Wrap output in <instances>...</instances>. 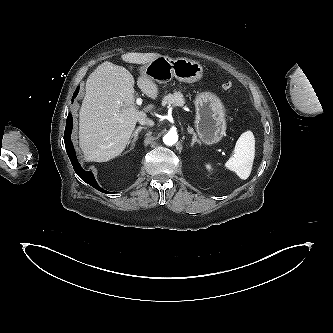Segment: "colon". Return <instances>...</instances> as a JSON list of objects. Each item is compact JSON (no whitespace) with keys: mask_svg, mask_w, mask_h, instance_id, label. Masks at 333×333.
Returning <instances> with one entry per match:
<instances>
[{"mask_svg":"<svg viewBox=\"0 0 333 333\" xmlns=\"http://www.w3.org/2000/svg\"><path fill=\"white\" fill-rule=\"evenodd\" d=\"M223 87L228 90L232 87V84H231V82H225Z\"/></svg>","mask_w":333,"mask_h":333,"instance_id":"obj_1","label":"colon"}]
</instances>
